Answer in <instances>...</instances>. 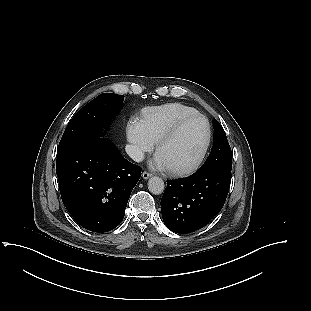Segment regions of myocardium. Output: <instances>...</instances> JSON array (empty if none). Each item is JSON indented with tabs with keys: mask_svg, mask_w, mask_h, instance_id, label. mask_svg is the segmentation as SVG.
Masks as SVG:
<instances>
[{
	"mask_svg": "<svg viewBox=\"0 0 311 311\" xmlns=\"http://www.w3.org/2000/svg\"><path fill=\"white\" fill-rule=\"evenodd\" d=\"M201 118L204 123H205V127H206V139L204 142V145L200 151V153L198 154V156L195 158V160H193L191 163L185 165V166H180V167H171V168H167L168 171L171 174L174 175H183V174H187L190 173L192 171H194L195 169H197L200 164L202 163V161L204 160L210 143H211V138H212V131H211V125L209 120L207 119V117L199 112L196 113H192L189 115H186L184 117H181L180 119H178L171 128H169L165 133H163L159 139L156 142V152L158 153L160 147L166 143L167 141L171 140L181 129V127L188 122L189 120L193 119V118Z\"/></svg>",
	"mask_w": 311,
	"mask_h": 311,
	"instance_id": "1",
	"label": "myocardium"
}]
</instances>
